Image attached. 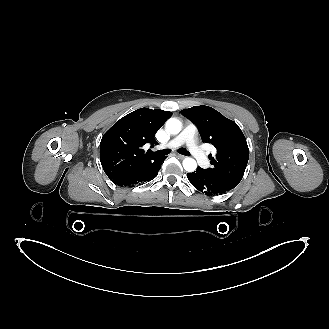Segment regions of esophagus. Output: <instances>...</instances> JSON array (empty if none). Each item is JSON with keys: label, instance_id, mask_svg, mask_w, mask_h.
<instances>
[{"label": "esophagus", "instance_id": "obj_1", "mask_svg": "<svg viewBox=\"0 0 329 329\" xmlns=\"http://www.w3.org/2000/svg\"><path fill=\"white\" fill-rule=\"evenodd\" d=\"M176 157H177L178 159H184V158H185L184 155H180V154H177Z\"/></svg>", "mask_w": 329, "mask_h": 329}]
</instances>
